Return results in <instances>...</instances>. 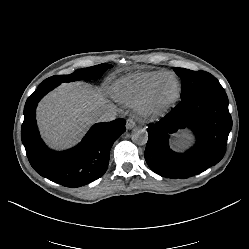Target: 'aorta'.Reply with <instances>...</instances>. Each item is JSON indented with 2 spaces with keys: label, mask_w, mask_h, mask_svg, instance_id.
<instances>
[{
  "label": "aorta",
  "mask_w": 249,
  "mask_h": 249,
  "mask_svg": "<svg viewBox=\"0 0 249 249\" xmlns=\"http://www.w3.org/2000/svg\"><path fill=\"white\" fill-rule=\"evenodd\" d=\"M131 139L138 145H145L148 141V133L145 129H134L131 134Z\"/></svg>",
  "instance_id": "obj_1"
}]
</instances>
